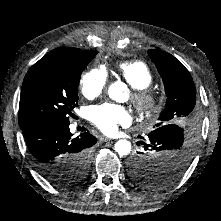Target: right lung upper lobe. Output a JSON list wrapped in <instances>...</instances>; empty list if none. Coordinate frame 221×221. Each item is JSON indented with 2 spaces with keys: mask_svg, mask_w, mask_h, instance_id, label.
Instances as JSON below:
<instances>
[{
  "mask_svg": "<svg viewBox=\"0 0 221 221\" xmlns=\"http://www.w3.org/2000/svg\"><path fill=\"white\" fill-rule=\"evenodd\" d=\"M90 52L92 51H84L71 47H59L47 53L38 62H48L55 60H73L77 58H83L87 56Z\"/></svg>",
  "mask_w": 221,
  "mask_h": 221,
  "instance_id": "right-lung-upper-lobe-1",
  "label": "right lung upper lobe"
}]
</instances>
